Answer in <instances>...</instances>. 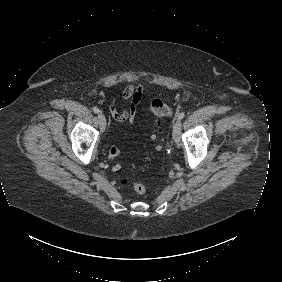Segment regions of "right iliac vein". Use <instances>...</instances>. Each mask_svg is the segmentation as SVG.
I'll list each match as a JSON object with an SVG mask.
<instances>
[{"mask_svg": "<svg viewBox=\"0 0 282 282\" xmlns=\"http://www.w3.org/2000/svg\"><path fill=\"white\" fill-rule=\"evenodd\" d=\"M98 121H99V126H100L101 132H104L105 128H106V118L102 113H99Z\"/></svg>", "mask_w": 282, "mask_h": 282, "instance_id": "1", "label": "right iliac vein"}]
</instances>
